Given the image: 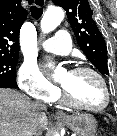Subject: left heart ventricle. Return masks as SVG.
<instances>
[{"mask_svg": "<svg viewBox=\"0 0 117 136\" xmlns=\"http://www.w3.org/2000/svg\"><path fill=\"white\" fill-rule=\"evenodd\" d=\"M61 84L78 103L87 106H100L104 102L103 87L98 78L89 72H66Z\"/></svg>", "mask_w": 117, "mask_h": 136, "instance_id": "left-heart-ventricle-1", "label": "left heart ventricle"}]
</instances>
